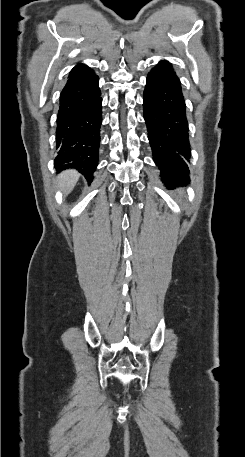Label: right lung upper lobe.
Here are the masks:
<instances>
[{"label": "right lung upper lobe", "instance_id": "cb5924a9", "mask_svg": "<svg viewBox=\"0 0 245 457\" xmlns=\"http://www.w3.org/2000/svg\"><path fill=\"white\" fill-rule=\"evenodd\" d=\"M89 68L84 65V64H78L76 65L70 72V74H74V73H78V72H82V71H85V70H88Z\"/></svg>", "mask_w": 245, "mask_h": 457}]
</instances>
